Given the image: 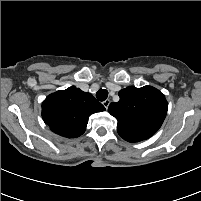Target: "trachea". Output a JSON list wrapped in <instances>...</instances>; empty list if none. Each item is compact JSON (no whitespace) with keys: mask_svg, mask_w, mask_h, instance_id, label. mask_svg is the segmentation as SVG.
<instances>
[{"mask_svg":"<svg viewBox=\"0 0 201 201\" xmlns=\"http://www.w3.org/2000/svg\"><path fill=\"white\" fill-rule=\"evenodd\" d=\"M96 97L99 101H104L108 97V91L106 89H100L97 91Z\"/></svg>","mask_w":201,"mask_h":201,"instance_id":"trachea-1","label":"trachea"}]
</instances>
